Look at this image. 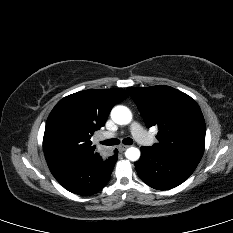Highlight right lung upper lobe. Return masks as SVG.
<instances>
[{"mask_svg":"<svg viewBox=\"0 0 233 233\" xmlns=\"http://www.w3.org/2000/svg\"><path fill=\"white\" fill-rule=\"evenodd\" d=\"M128 96L121 88L89 89L61 99L46 122L43 149L47 162L96 154L91 136L104 126L112 107Z\"/></svg>","mask_w":233,"mask_h":233,"instance_id":"right-lung-upper-lobe-1","label":"right lung upper lobe"}]
</instances>
